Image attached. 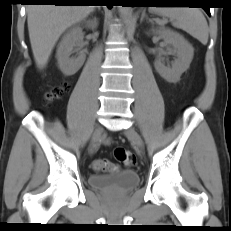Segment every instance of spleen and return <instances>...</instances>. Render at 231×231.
Returning a JSON list of instances; mask_svg holds the SVG:
<instances>
[{
    "label": "spleen",
    "mask_w": 231,
    "mask_h": 231,
    "mask_svg": "<svg viewBox=\"0 0 231 231\" xmlns=\"http://www.w3.org/2000/svg\"><path fill=\"white\" fill-rule=\"evenodd\" d=\"M150 11L160 16L169 17L174 27L182 29L203 45L208 42L209 29L202 12L189 7H151Z\"/></svg>",
    "instance_id": "obj_1"
}]
</instances>
